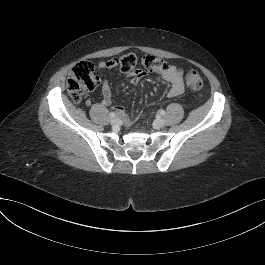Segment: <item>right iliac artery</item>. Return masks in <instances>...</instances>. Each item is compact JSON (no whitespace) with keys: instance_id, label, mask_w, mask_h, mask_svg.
<instances>
[{"instance_id":"82829eb1","label":"right iliac artery","mask_w":265,"mask_h":265,"mask_svg":"<svg viewBox=\"0 0 265 265\" xmlns=\"http://www.w3.org/2000/svg\"><path fill=\"white\" fill-rule=\"evenodd\" d=\"M109 116H110L111 118H114V117H115V113H114V112H111V113L109 114Z\"/></svg>"}]
</instances>
